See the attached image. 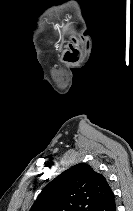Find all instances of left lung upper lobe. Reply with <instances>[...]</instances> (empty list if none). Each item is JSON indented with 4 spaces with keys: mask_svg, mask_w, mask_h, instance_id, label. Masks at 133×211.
Returning a JSON list of instances; mask_svg holds the SVG:
<instances>
[{
    "mask_svg": "<svg viewBox=\"0 0 133 211\" xmlns=\"http://www.w3.org/2000/svg\"><path fill=\"white\" fill-rule=\"evenodd\" d=\"M111 192L102 174L80 163L48 183L30 211H93Z\"/></svg>",
    "mask_w": 133,
    "mask_h": 211,
    "instance_id": "left-lung-upper-lobe-1",
    "label": "left lung upper lobe"
}]
</instances>
